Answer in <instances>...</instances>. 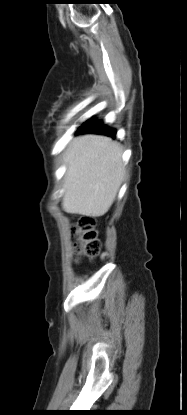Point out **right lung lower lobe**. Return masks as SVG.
Wrapping results in <instances>:
<instances>
[{
	"label": "right lung lower lobe",
	"mask_w": 187,
	"mask_h": 415,
	"mask_svg": "<svg viewBox=\"0 0 187 415\" xmlns=\"http://www.w3.org/2000/svg\"><path fill=\"white\" fill-rule=\"evenodd\" d=\"M76 133H96L104 134L115 138L116 131L114 129L107 128L103 125L102 121L96 122L94 119H89L79 127Z\"/></svg>",
	"instance_id": "obj_1"
}]
</instances>
